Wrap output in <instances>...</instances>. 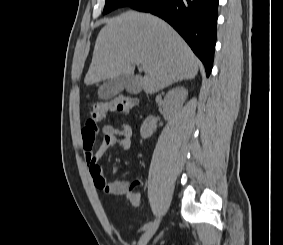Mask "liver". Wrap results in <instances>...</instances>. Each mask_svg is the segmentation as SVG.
<instances>
[{"label": "liver", "instance_id": "obj_1", "mask_svg": "<svg viewBox=\"0 0 283 245\" xmlns=\"http://www.w3.org/2000/svg\"><path fill=\"white\" fill-rule=\"evenodd\" d=\"M144 65L142 89L152 94L182 80L193 79L200 65L190 47L165 21L150 14L127 11L108 19L99 32L86 85L122 74L132 75Z\"/></svg>", "mask_w": 283, "mask_h": 245}]
</instances>
